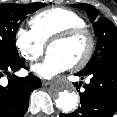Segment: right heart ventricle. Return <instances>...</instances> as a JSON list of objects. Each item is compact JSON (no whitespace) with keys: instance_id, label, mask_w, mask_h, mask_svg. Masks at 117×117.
Masks as SVG:
<instances>
[{"instance_id":"right-heart-ventricle-1","label":"right heart ventricle","mask_w":117,"mask_h":117,"mask_svg":"<svg viewBox=\"0 0 117 117\" xmlns=\"http://www.w3.org/2000/svg\"><path fill=\"white\" fill-rule=\"evenodd\" d=\"M34 33L44 42L60 32L74 27H85L84 18L77 12L64 8L52 7L43 10L30 19Z\"/></svg>"}]
</instances>
